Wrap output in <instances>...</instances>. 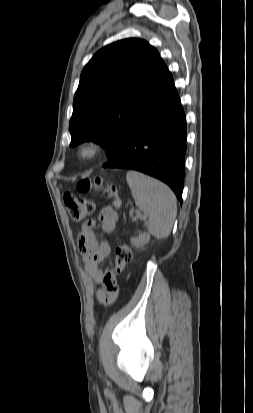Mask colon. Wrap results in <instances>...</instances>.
<instances>
[{"label":"colon","mask_w":253,"mask_h":413,"mask_svg":"<svg viewBox=\"0 0 253 413\" xmlns=\"http://www.w3.org/2000/svg\"><path fill=\"white\" fill-rule=\"evenodd\" d=\"M92 188V182L90 180H82L77 184V190L79 196H75L71 193L64 195L65 206L75 221H81L88 218L95 209L94 203L81 195L88 193ZM104 195L111 199L112 205L115 208L120 207V200L118 199L116 190L113 187H106L103 190ZM133 257L132 251L127 244H121L116 248L114 270L117 273L122 272L126 266L131 262Z\"/></svg>","instance_id":"5ec220e1"}]
</instances>
